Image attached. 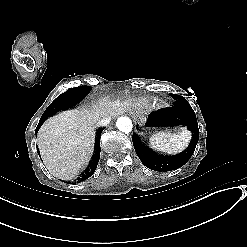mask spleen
<instances>
[{
    "label": "spleen",
    "instance_id": "spleen-1",
    "mask_svg": "<svg viewBox=\"0 0 247 247\" xmlns=\"http://www.w3.org/2000/svg\"><path fill=\"white\" fill-rule=\"evenodd\" d=\"M191 135L188 131H183L180 134L171 132L154 133L150 139V144L157 149L165 151H180L189 143Z\"/></svg>",
    "mask_w": 247,
    "mask_h": 247
}]
</instances>
